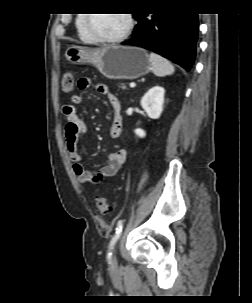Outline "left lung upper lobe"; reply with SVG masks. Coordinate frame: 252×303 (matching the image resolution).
<instances>
[{"mask_svg": "<svg viewBox=\"0 0 252 303\" xmlns=\"http://www.w3.org/2000/svg\"><path fill=\"white\" fill-rule=\"evenodd\" d=\"M138 15H139V14H134V16H133V17L137 18V17H138Z\"/></svg>", "mask_w": 252, "mask_h": 303, "instance_id": "1", "label": "left lung upper lobe"}]
</instances>
